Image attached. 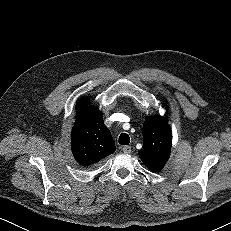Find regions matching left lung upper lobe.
<instances>
[{
	"mask_svg": "<svg viewBox=\"0 0 231 231\" xmlns=\"http://www.w3.org/2000/svg\"><path fill=\"white\" fill-rule=\"evenodd\" d=\"M143 148L138 151L144 165L153 172L163 169L171 152L172 132L161 116H148L143 124Z\"/></svg>",
	"mask_w": 231,
	"mask_h": 231,
	"instance_id": "1",
	"label": "left lung upper lobe"
}]
</instances>
